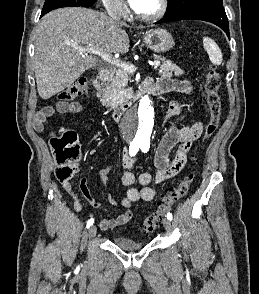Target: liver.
I'll use <instances>...</instances> for the list:
<instances>
[{"label": "liver", "instance_id": "6515ba94", "mask_svg": "<svg viewBox=\"0 0 259 294\" xmlns=\"http://www.w3.org/2000/svg\"><path fill=\"white\" fill-rule=\"evenodd\" d=\"M35 78L39 96L49 99L70 87L98 59L81 47L92 45L110 53L129 51V37L104 13L67 7L46 14L35 32Z\"/></svg>", "mask_w": 259, "mask_h": 294}]
</instances>
